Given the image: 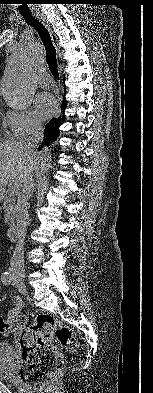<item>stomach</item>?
I'll return each instance as SVG.
<instances>
[{
    "label": "stomach",
    "instance_id": "obj_1",
    "mask_svg": "<svg viewBox=\"0 0 153 393\" xmlns=\"http://www.w3.org/2000/svg\"><path fill=\"white\" fill-rule=\"evenodd\" d=\"M2 199V192H0V200Z\"/></svg>",
    "mask_w": 153,
    "mask_h": 393
}]
</instances>
